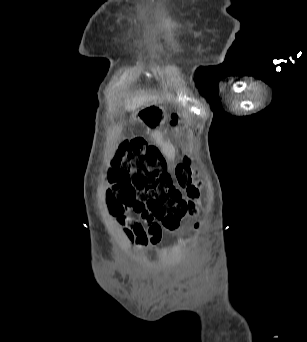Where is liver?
Instances as JSON below:
<instances>
[{
    "label": "liver",
    "instance_id": "liver-1",
    "mask_svg": "<svg viewBox=\"0 0 307 342\" xmlns=\"http://www.w3.org/2000/svg\"><path fill=\"white\" fill-rule=\"evenodd\" d=\"M153 100H157V96H150V94H144V92H142V94H138V96H135L132 100H127L125 110L133 112V110H136L139 106H145V104L153 102Z\"/></svg>",
    "mask_w": 307,
    "mask_h": 342
}]
</instances>
